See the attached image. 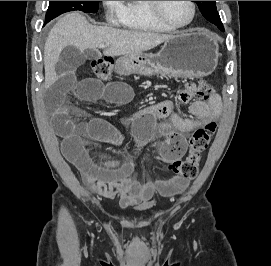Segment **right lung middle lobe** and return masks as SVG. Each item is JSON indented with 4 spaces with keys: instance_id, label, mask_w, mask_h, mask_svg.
I'll return each mask as SVG.
<instances>
[{
    "instance_id": "1",
    "label": "right lung middle lobe",
    "mask_w": 271,
    "mask_h": 266,
    "mask_svg": "<svg viewBox=\"0 0 271 266\" xmlns=\"http://www.w3.org/2000/svg\"><path fill=\"white\" fill-rule=\"evenodd\" d=\"M99 1H50L45 16V24L62 13L80 10L86 13H96Z\"/></svg>"
}]
</instances>
